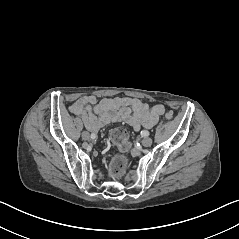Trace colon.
Listing matches in <instances>:
<instances>
[{
  "label": "colon",
  "mask_w": 239,
  "mask_h": 239,
  "mask_svg": "<svg viewBox=\"0 0 239 239\" xmlns=\"http://www.w3.org/2000/svg\"><path fill=\"white\" fill-rule=\"evenodd\" d=\"M165 118L166 120H171L173 118V113L170 111L166 112ZM110 138L120 151V153L113 158L110 171L113 176H119L124 173L127 168L128 160L126 153L130 148L129 137L125 129L116 127L111 130Z\"/></svg>",
  "instance_id": "1"
}]
</instances>
